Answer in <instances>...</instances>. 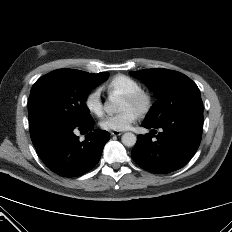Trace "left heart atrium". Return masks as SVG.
Wrapping results in <instances>:
<instances>
[{
  "label": "left heart atrium",
  "instance_id": "left-heart-atrium-1",
  "mask_svg": "<svg viewBox=\"0 0 232 232\" xmlns=\"http://www.w3.org/2000/svg\"><path fill=\"white\" fill-rule=\"evenodd\" d=\"M139 114L135 109H126L121 113L111 115L100 123L102 129L107 131H125L131 128L138 119Z\"/></svg>",
  "mask_w": 232,
  "mask_h": 232
}]
</instances>
